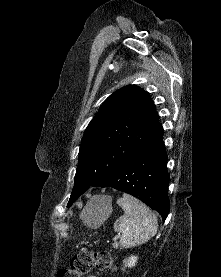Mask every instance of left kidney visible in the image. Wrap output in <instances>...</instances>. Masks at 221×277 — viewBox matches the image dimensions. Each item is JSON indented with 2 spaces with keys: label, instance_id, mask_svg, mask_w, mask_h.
<instances>
[{
  "label": "left kidney",
  "instance_id": "1",
  "mask_svg": "<svg viewBox=\"0 0 221 277\" xmlns=\"http://www.w3.org/2000/svg\"><path fill=\"white\" fill-rule=\"evenodd\" d=\"M138 257L137 256H130L129 258L125 259L123 262L125 263L126 267H134L137 263Z\"/></svg>",
  "mask_w": 221,
  "mask_h": 277
}]
</instances>
